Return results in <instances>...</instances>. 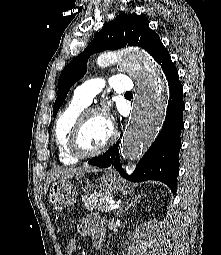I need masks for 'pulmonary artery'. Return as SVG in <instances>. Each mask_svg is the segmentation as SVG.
<instances>
[{"instance_id":"1","label":"pulmonary artery","mask_w":221,"mask_h":255,"mask_svg":"<svg viewBox=\"0 0 221 255\" xmlns=\"http://www.w3.org/2000/svg\"><path fill=\"white\" fill-rule=\"evenodd\" d=\"M110 85L117 93H128L133 90V83L125 74H115L109 79ZM105 85L102 78H94L79 85L74 93L72 101L78 105L88 106L92 99L98 95Z\"/></svg>"}]
</instances>
